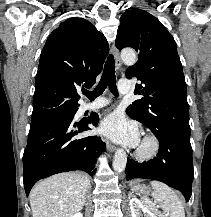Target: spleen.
I'll return each instance as SVG.
<instances>
[{"instance_id": "spleen-1", "label": "spleen", "mask_w": 211, "mask_h": 217, "mask_svg": "<svg viewBox=\"0 0 211 217\" xmlns=\"http://www.w3.org/2000/svg\"><path fill=\"white\" fill-rule=\"evenodd\" d=\"M150 184L154 190V202L144 198V203L150 211L158 215V217H185L182 202L169 186L155 180L151 181ZM158 208H161L163 212H160Z\"/></svg>"}]
</instances>
